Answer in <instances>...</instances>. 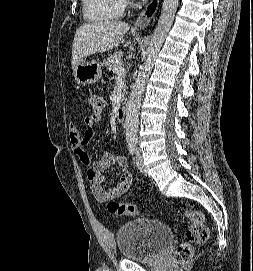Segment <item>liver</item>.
<instances>
[{
	"instance_id": "6515ba94",
	"label": "liver",
	"mask_w": 253,
	"mask_h": 271,
	"mask_svg": "<svg viewBox=\"0 0 253 271\" xmlns=\"http://www.w3.org/2000/svg\"><path fill=\"white\" fill-rule=\"evenodd\" d=\"M129 24L121 21L86 23L76 30L72 45V68L88 55L118 47Z\"/></svg>"
}]
</instances>
